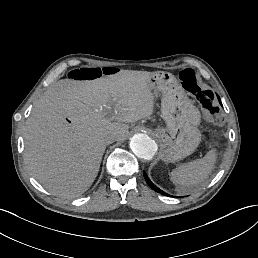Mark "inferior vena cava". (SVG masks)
Returning <instances> with one entry per match:
<instances>
[{
	"label": "inferior vena cava",
	"mask_w": 258,
	"mask_h": 258,
	"mask_svg": "<svg viewBox=\"0 0 258 258\" xmlns=\"http://www.w3.org/2000/svg\"><path fill=\"white\" fill-rule=\"evenodd\" d=\"M116 140H117V134L116 133H107L103 136V142L106 145L111 144Z\"/></svg>",
	"instance_id": "1"
}]
</instances>
